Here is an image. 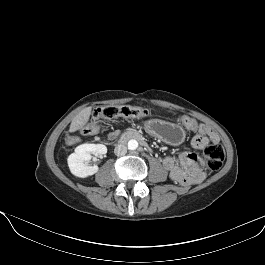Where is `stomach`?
<instances>
[{
    "mask_svg": "<svg viewBox=\"0 0 265 265\" xmlns=\"http://www.w3.org/2000/svg\"><path fill=\"white\" fill-rule=\"evenodd\" d=\"M145 131L156 139L173 146L184 142L186 133L184 129L174 123L159 119H151L144 124Z\"/></svg>",
    "mask_w": 265,
    "mask_h": 265,
    "instance_id": "1",
    "label": "stomach"
}]
</instances>
